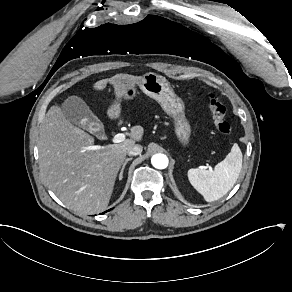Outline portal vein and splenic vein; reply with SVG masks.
I'll use <instances>...</instances> for the list:
<instances>
[{
    "mask_svg": "<svg viewBox=\"0 0 292 292\" xmlns=\"http://www.w3.org/2000/svg\"><path fill=\"white\" fill-rule=\"evenodd\" d=\"M124 140H125V134L123 133H118L113 138L114 143H120V142H123ZM93 148H96V146H94Z\"/></svg>",
    "mask_w": 292,
    "mask_h": 292,
    "instance_id": "18ae733b",
    "label": "portal vein and splenic vein"
}]
</instances>
